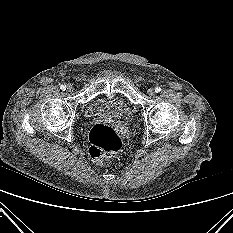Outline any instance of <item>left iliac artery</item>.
<instances>
[{
    "label": "left iliac artery",
    "instance_id": "obj_1",
    "mask_svg": "<svg viewBox=\"0 0 233 233\" xmlns=\"http://www.w3.org/2000/svg\"><path fill=\"white\" fill-rule=\"evenodd\" d=\"M155 92H156V93L161 92V88H160V87H156V88H155Z\"/></svg>",
    "mask_w": 233,
    "mask_h": 233
}]
</instances>
